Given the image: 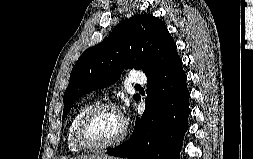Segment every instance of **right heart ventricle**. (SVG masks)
Instances as JSON below:
<instances>
[{
	"label": "right heart ventricle",
	"mask_w": 253,
	"mask_h": 159,
	"mask_svg": "<svg viewBox=\"0 0 253 159\" xmlns=\"http://www.w3.org/2000/svg\"><path fill=\"white\" fill-rule=\"evenodd\" d=\"M95 102L89 101L84 104H82L76 112L73 114L71 117L69 124L67 126V131H66V140H67V146L68 149L72 152H78L81 151L82 148L77 145L76 140H75V130L77 127V124L84 114V112L90 108Z\"/></svg>",
	"instance_id": "1"
}]
</instances>
